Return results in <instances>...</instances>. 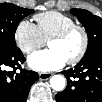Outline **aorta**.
<instances>
[{
	"instance_id": "762f6f07",
	"label": "aorta",
	"mask_w": 102,
	"mask_h": 102,
	"mask_svg": "<svg viewBox=\"0 0 102 102\" xmlns=\"http://www.w3.org/2000/svg\"><path fill=\"white\" fill-rule=\"evenodd\" d=\"M65 78L62 75H54L50 79V86L55 91H62L65 88Z\"/></svg>"
}]
</instances>
